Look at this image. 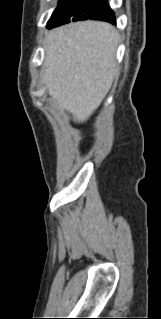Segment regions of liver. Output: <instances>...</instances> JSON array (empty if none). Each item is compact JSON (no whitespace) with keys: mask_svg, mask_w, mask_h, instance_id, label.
Returning <instances> with one entry per match:
<instances>
[{"mask_svg":"<svg viewBox=\"0 0 161 319\" xmlns=\"http://www.w3.org/2000/svg\"><path fill=\"white\" fill-rule=\"evenodd\" d=\"M119 34L109 23H70L47 33L44 82L53 101L86 121L99 107L118 72Z\"/></svg>","mask_w":161,"mask_h":319,"instance_id":"obj_1","label":"liver"}]
</instances>
